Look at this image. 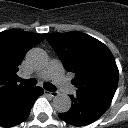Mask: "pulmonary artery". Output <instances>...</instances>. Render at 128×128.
I'll use <instances>...</instances> for the list:
<instances>
[{
    "instance_id": "obj_1",
    "label": "pulmonary artery",
    "mask_w": 128,
    "mask_h": 128,
    "mask_svg": "<svg viewBox=\"0 0 128 128\" xmlns=\"http://www.w3.org/2000/svg\"><path fill=\"white\" fill-rule=\"evenodd\" d=\"M41 79H51L65 94H75L76 88L72 86L64 75L62 64L58 60H51L48 66L39 74Z\"/></svg>"
}]
</instances>
